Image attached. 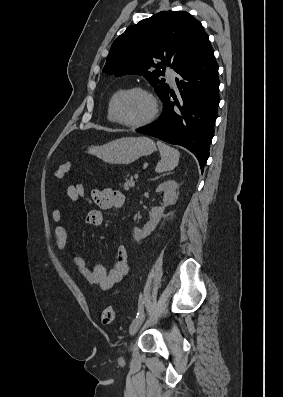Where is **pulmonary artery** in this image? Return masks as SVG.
I'll return each mask as SVG.
<instances>
[{
    "mask_svg": "<svg viewBox=\"0 0 283 397\" xmlns=\"http://www.w3.org/2000/svg\"><path fill=\"white\" fill-rule=\"evenodd\" d=\"M167 76L170 79L172 85H176V76L177 74L173 70H168Z\"/></svg>",
    "mask_w": 283,
    "mask_h": 397,
    "instance_id": "obj_1",
    "label": "pulmonary artery"
}]
</instances>
